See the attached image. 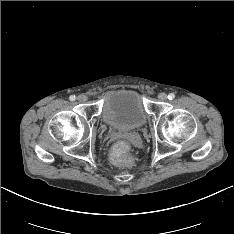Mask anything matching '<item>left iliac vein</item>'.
<instances>
[{"label": "left iliac vein", "mask_w": 234, "mask_h": 234, "mask_svg": "<svg viewBox=\"0 0 234 234\" xmlns=\"http://www.w3.org/2000/svg\"><path fill=\"white\" fill-rule=\"evenodd\" d=\"M158 99H159L160 101H166V100H167V94H166V93H160V94L158 95Z\"/></svg>", "instance_id": "left-iliac-vein-1"}]
</instances>
